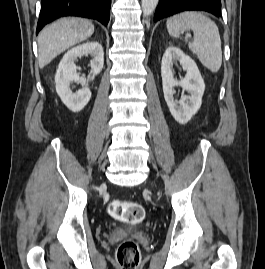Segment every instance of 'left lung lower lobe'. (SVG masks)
I'll return each instance as SVG.
<instances>
[{
  "label": "left lung lower lobe",
  "instance_id": "obj_1",
  "mask_svg": "<svg viewBox=\"0 0 265 269\" xmlns=\"http://www.w3.org/2000/svg\"><path fill=\"white\" fill-rule=\"evenodd\" d=\"M189 10L206 11L219 17L221 16V0H160L154 21Z\"/></svg>",
  "mask_w": 265,
  "mask_h": 269
}]
</instances>
